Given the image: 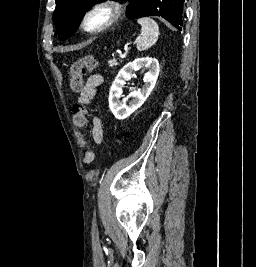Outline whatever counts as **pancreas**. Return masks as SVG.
<instances>
[{"mask_svg": "<svg viewBox=\"0 0 256 267\" xmlns=\"http://www.w3.org/2000/svg\"><path fill=\"white\" fill-rule=\"evenodd\" d=\"M108 64L110 68H112V66H118V62H116V60H109Z\"/></svg>", "mask_w": 256, "mask_h": 267, "instance_id": "pancreas-1", "label": "pancreas"}]
</instances>
